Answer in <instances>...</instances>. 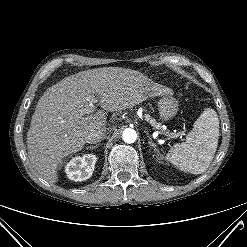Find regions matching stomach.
<instances>
[{"label":"stomach","instance_id":"obj_1","mask_svg":"<svg viewBox=\"0 0 247 247\" xmlns=\"http://www.w3.org/2000/svg\"><path fill=\"white\" fill-rule=\"evenodd\" d=\"M158 111L164 121L172 119L178 111V102L171 96H163L158 102Z\"/></svg>","mask_w":247,"mask_h":247}]
</instances>
